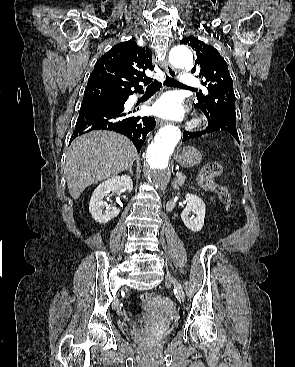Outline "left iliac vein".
<instances>
[{
    "label": "left iliac vein",
    "instance_id": "left-iliac-vein-1",
    "mask_svg": "<svg viewBox=\"0 0 295 367\" xmlns=\"http://www.w3.org/2000/svg\"><path fill=\"white\" fill-rule=\"evenodd\" d=\"M166 279L174 286V288L177 290L178 295L180 297V299L183 301L184 300V291L183 288L181 286V284L171 275H166Z\"/></svg>",
    "mask_w": 295,
    "mask_h": 367
}]
</instances>
